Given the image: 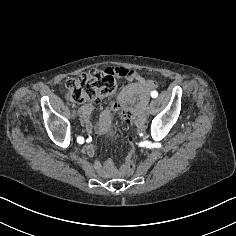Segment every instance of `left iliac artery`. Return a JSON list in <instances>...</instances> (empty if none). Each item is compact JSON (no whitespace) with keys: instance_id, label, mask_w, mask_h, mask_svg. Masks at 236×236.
Wrapping results in <instances>:
<instances>
[{"instance_id":"1","label":"left iliac artery","mask_w":236,"mask_h":236,"mask_svg":"<svg viewBox=\"0 0 236 236\" xmlns=\"http://www.w3.org/2000/svg\"><path fill=\"white\" fill-rule=\"evenodd\" d=\"M151 96H152V98H156L158 96L157 91H152Z\"/></svg>"}]
</instances>
